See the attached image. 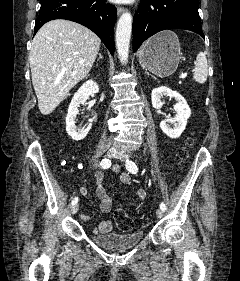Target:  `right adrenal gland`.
Masks as SVG:
<instances>
[{
    "label": "right adrenal gland",
    "instance_id": "2a0ac1e0",
    "mask_svg": "<svg viewBox=\"0 0 240 281\" xmlns=\"http://www.w3.org/2000/svg\"><path fill=\"white\" fill-rule=\"evenodd\" d=\"M100 59H103V56L101 53H99V57H98L97 61H99Z\"/></svg>",
    "mask_w": 240,
    "mask_h": 281
}]
</instances>
